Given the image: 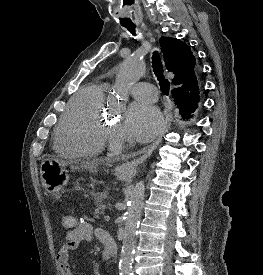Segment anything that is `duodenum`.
Returning a JSON list of instances; mask_svg holds the SVG:
<instances>
[{
	"instance_id": "1",
	"label": "duodenum",
	"mask_w": 263,
	"mask_h": 275,
	"mask_svg": "<svg viewBox=\"0 0 263 275\" xmlns=\"http://www.w3.org/2000/svg\"><path fill=\"white\" fill-rule=\"evenodd\" d=\"M102 242L104 245L103 257L105 260H115L117 257V244L114 238L107 232L104 233L102 237Z\"/></svg>"
}]
</instances>
